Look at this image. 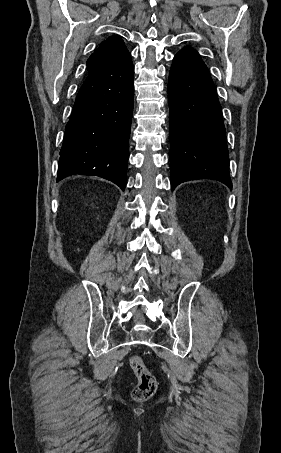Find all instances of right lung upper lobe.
<instances>
[{
	"label": "right lung upper lobe",
	"instance_id": "cb5924a9",
	"mask_svg": "<svg viewBox=\"0 0 281 453\" xmlns=\"http://www.w3.org/2000/svg\"><path fill=\"white\" fill-rule=\"evenodd\" d=\"M127 51L123 40L117 35L107 38L89 57L87 61L88 74L108 66Z\"/></svg>",
	"mask_w": 281,
	"mask_h": 453
}]
</instances>
